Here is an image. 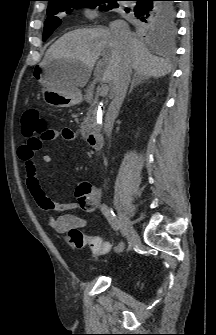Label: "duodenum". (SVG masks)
Listing matches in <instances>:
<instances>
[{"label": "duodenum", "mask_w": 216, "mask_h": 335, "mask_svg": "<svg viewBox=\"0 0 216 335\" xmlns=\"http://www.w3.org/2000/svg\"><path fill=\"white\" fill-rule=\"evenodd\" d=\"M87 142L92 149L99 150L102 147V137L98 130H92L87 134Z\"/></svg>", "instance_id": "duodenum-1"}]
</instances>
